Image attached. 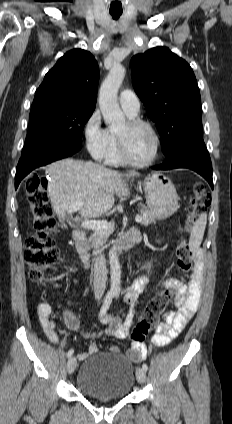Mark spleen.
Returning a JSON list of instances; mask_svg holds the SVG:
<instances>
[{
    "mask_svg": "<svg viewBox=\"0 0 232 424\" xmlns=\"http://www.w3.org/2000/svg\"><path fill=\"white\" fill-rule=\"evenodd\" d=\"M207 223V215L203 213L199 216L192 227L191 235L189 238V248L195 252L199 249L203 240L204 231Z\"/></svg>",
    "mask_w": 232,
    "mask_h": 424,
    "instance_id": "obj_1",
    "label": "spleen"
}]
</instances>
